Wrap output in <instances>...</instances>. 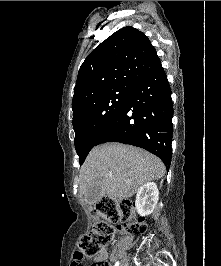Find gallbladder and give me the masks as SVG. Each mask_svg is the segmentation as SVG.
Segmentation results:
<instances>
[{
    "label": "gallbladder",
    "instance_id": "1",
    "mask_svg": "<svg viewBox=\"0 0 221 266\" xmlns=\"http://www.w3.org/2000/svg\"><path fill=\"white\" fill-rule=\"evenodd\" d=\"M105 195L104 191L102 190L100 185H95L90 188L87 193L85 194V201L86 203L93 205L99 202L102 197Z\"/></svg>",
    "mask_w": 221,
    "mask_h": 266
}]
</instances>
